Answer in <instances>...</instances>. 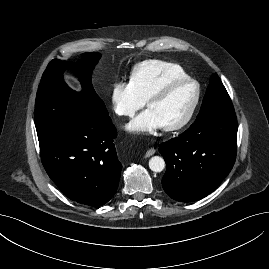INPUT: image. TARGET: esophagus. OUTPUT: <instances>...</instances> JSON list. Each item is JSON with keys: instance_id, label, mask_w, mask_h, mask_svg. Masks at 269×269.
<instances>
[{"instance_id": "esophagus-1", "label": "esophagus", "mask_w": 269, "mask_h": 269, "mask_svg": "<svg viewBox=\"0 0 269 269\" xmlns=\"http://www.w3.org/2000/svg\"><path fill=\"white\" fill-rule=\"evenodd\" d=\"M155 153V149L154 148H150L149 150H147L145 157H150Z\"/></svg>"}]
</instances>
